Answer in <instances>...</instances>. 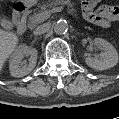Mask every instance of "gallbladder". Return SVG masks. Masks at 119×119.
Here are the masks:
<instances>
[{
  "instance_id": "bac80fb5",
  "label": "gallbladder",
  "mask_w": 119,
  "mask_h": 119,
  "mask_svg": "<svg viewBox=\"0 0 119 119\" xmlns=\"http://www.w3.org/2000/svg\"><path fill=\"white\" fill-rule=\"evenodd\" d=\"M0 25L5 29H10L12 27V23L6 19L0 17Z\"/></svg>"
}]
</instances>
